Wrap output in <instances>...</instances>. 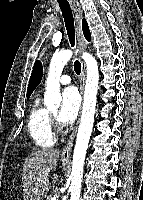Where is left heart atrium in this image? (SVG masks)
<instances>
[{
    "label": "left heart atrium",
    "instance_id": "1",
    "mask_svg": "<svg viewBox=\"0 0 143 200\" xmlns=\"http://www.w3.org/2000/svg\"><path fill=\"white\" fill-rule=\"evenodd\" d=\"M80 107V96L73 86L67 87L62 92V105L58 119L62 125H68L76 118Z\"/></svg>",
    "mask_w": 143,
    "mask_h": 200
}]
</instances>
